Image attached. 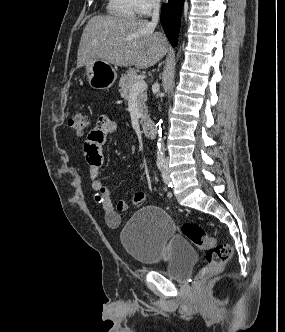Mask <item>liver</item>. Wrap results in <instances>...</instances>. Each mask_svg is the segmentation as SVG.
Listing matches in <instances>:
<instances>
[{
	"instance_id": "1",
	"label": "liver",
	"mask_w": 285,
	"mask_h": 332,
	"mask_svg": "<svg viewBox=\"0 0 285 332\" xmlns=\"http://www.w3.org/2000/svg\"><path fill=\"white\" fill-rule=\"evenodd\" d=\"M145 19L98 15L85 26L77 53V68L103 61L121 67L148 68L166 51V40Z\"/></svg>"
}]
</instances>
